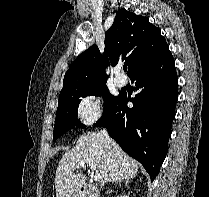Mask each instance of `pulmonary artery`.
<instances>
[{
    "mask_svg": "<svg viewBox=\"0 0 209 197\" xmlns=\"http://www.w3.org/2000/svg\"><path fill=\"white\" fill-rule=\"evenodd\" d=\"M114 82L118 87H123L126 84V79L124 77H115Z\"/></svg>",
    "mask_w": 209,
    "mask_h": 197,
    "instance_id": "e3ab8cb5",
    "label": "pulmonary artery"
}]
</instances>
